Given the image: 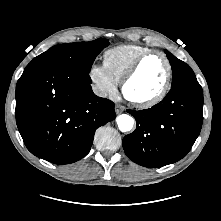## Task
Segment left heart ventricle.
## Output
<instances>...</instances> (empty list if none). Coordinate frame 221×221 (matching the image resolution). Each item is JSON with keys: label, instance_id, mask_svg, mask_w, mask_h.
<instances>
[{"label": "left heart ventricle", "instance_id": "left-heart-ventricle-1", "mask_svg": "<svg viewBox=\"0 0 221 221\" xmlns=\"http://www.w3.org/2000/svg\"><path fill=\"white\" fill-rule=\"evenodd\" d=\"M167 67L159 55L148 57L127 86V93L134 99H147L157 94L166 78Z\"/></svg>", "mask_w": 221, "mask_h": 221}]
</instances>
